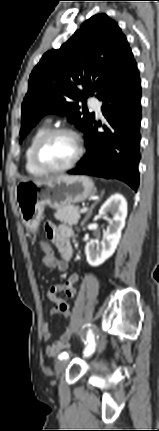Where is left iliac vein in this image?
<instances>
[{
	"instance_id": "1",
	"label": "left iliac vein",
	"mask_w": 159,
	"mask_h": 431,
	"mask_svg": "<svg viewBox=\"0 0 159 431\" xmlns=\"http://www.w3.org/2000/svg\"><path fill=\"white\" fill-rule=\"evenodd\" d=\"M102 349H103V341L101 340L99 342V345H98V352L100 353L102 351ZM67 363L68 362H67L66 359H62V360H60L56 364V366H55V374H56L57 378L64 372V370H65V368L67 366Z\"/></svg>"
}]
</instances>
